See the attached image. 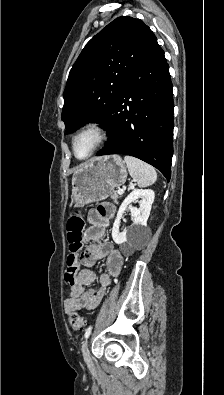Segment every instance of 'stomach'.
I'll use <instances>...</instances> for the list:
<instances>
[{"instance_id": "1", "label": "stomach", "mask_w": 224, "mask_h": 395, "mask_svg": "<svg viewBox=\"0 0 224 395\" xmlns=\"http://www.w3.org/2000/svg\"><path fill=\"white\" fill-rule=\"evenodd\" d=\"M126 178V165L120 156L94 158L73 173L71 199L75 206L104 200L123 185Z\"/></svg>"}]
</instances>
